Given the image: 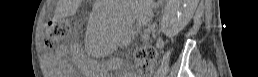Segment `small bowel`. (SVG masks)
<instances>
[{"label": "small bowel", "instance_id": "c3829d8e", "mask_svg": "<svg viewBox=\"0 0 258 77\" xmlns=\"http://www.w3.org/2000/svg\"><path fill=\"white\" fill-rule=\"evenodd\" d=\"M157 45L161 46V45H162V41L159 40V41L157 42Z\"/></svg>", "mask_w": 258, "mask_h": 77}]
</instances>
